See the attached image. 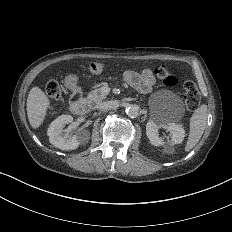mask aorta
<instances>
[{
    "mask_svg": "<svg viewBox=\"0 0 232 232\" xmlns=\"http://www.w3.org/2000/svg\"><path fill=\"white\" fill-rule=\"evenodd\" d=\"M126 114L130 118H136L140 115V107L136 104H130L126 107Z\"/></svg>",
    "mask_w": 232,
    "mask_h": 232,
    "instance_id": "obj_1",
    "label": "aorta"
}]
</instances>
